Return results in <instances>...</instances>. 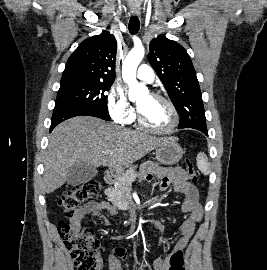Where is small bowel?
I'll list each match as a JSON object with an SVG mask.
<instances>
[{
	"instance_id": "small-bowel-1",
	"label": "small bowel",
	"mask_w": 267,
	"mask_h": 270,
	"mask_svg": "<svg viewBox=\"0 0 267 270\" xmlns=\"http://www.w3.org/2000/svg\"><path fill=\"white\" fill-rule=\"evenodd\" d=\"M140 179L146 181L158 179L160 180V188L162 190L173 185L174 190L184 196L181 211L186 214L187 217L178 228L179 237L172 253L178 250H183L194 235L196 225L201 221L203 216V209L199 202V195L196 186L187 179L186 172L179 167L164 168L154 164H148L142 169ZM105 210H109L111 214H116V210L107 202L92 200L78 209L71 217L70 222L73 225H77L87 216L93 215L100 218L103 223L108 226L109 220L102 213ZM171 254L164 258H156L153 262V269L168 270ZM125 258V249L122 247H116L109 260V270H122L120 260Z\"/></svg>"
}]
</instances>
